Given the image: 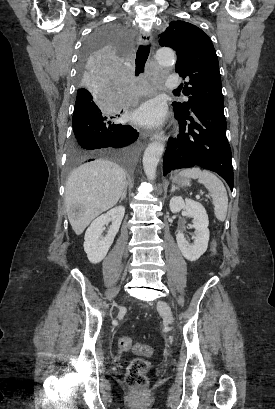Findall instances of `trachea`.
I'll use <instances>...</instances> for the list:
<instances>
[{
  "label": "trachea",
  "instance_id": "1",
  "mask_svg": "<svg viewBox=\"0 0 275 409\" xmlns=\"http://www.w3.org/2000/svg\"><path fill=\"white\" fill-rule=\"evenodd\" d=\"M149 51H150L149 44L147 46H143L141 44L140 47L138 48L136 53V72H135L136 76L144 72V67L149 56Z\"/></svg>",
  "mask_w": 275,
  "mask_h": 409
}]
</instances>
